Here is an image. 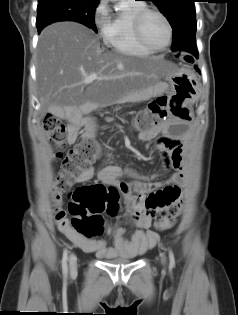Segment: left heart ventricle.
<instances>
[{
    "label": "left heart ventricle",
    "mask_w": 238,
    "mask_h": 315,
    "mask_svg": "<svg viewBox=\"0 0 238 315\" xmlns=\"http://www.w3.org/2000/svg\"><path fill=\"white\" fill-rule=\"evenodd\" d=\"M143 35L151 45L163 46L167 42L168 31L162 18L156 14H149L143 22Z\"/></svg>",
    "instance_id": "left-heart-ventricle-1"
}]
</instances>
